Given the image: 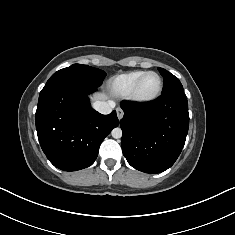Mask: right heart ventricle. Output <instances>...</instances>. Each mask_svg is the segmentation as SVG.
Masks as SVG:
<instances>
[{"instance_id": "right-heart-ventricle-1", "label": "right heart ventricle", "mask_w": 235, "mask_h": 235, "mask_svg": "<svg viewBox=\"0 0 235 235\" xmlns=\"http://www.w3.org/2000/svg\"><path fill=\"white\" fill-rule=\"evenodd\" d=\"M144 73L143 70H136L113 77L109 83L110 91L121 98L129 97L135 83Z\"/></svg>"}]
</instances>
